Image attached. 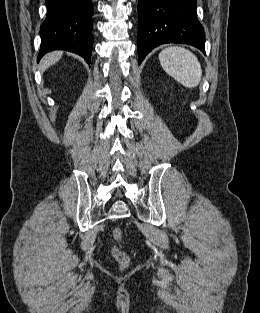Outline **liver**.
Wrapping results in <instances>:
<instances>
[{
    "label": "liver",
    "instance_id": "1",
    "mask_svg": "<svg viewBox=\"0 0 260 313\" xmlns=\"http://www.w3.org/2000/svg\"><path fill=\"white\" fill-rule=\"evenodd\" d=\"M62 55H63L62 51H54V52L48 53L42 59L40 65H39V69L42 72L45 71L51 65L55 64L56 62H58L61 59Z\"/></svg>",
    "mask_w": 260,
    "mask_h": 313
}]
</instances>
